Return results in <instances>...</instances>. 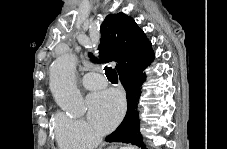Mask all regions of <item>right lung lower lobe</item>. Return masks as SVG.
Masks as SVG:
<instances>
[{
	"label": "right lung lower lobe",
	"mask_w": 227,
	"mask_h": 149,
	"mask_svg": "<svg viewBox=\"0 0 227 149\" xmlns=\"http://www.w3.org/2000/svg\"><path fill=\"white\" fill-rule=\"evenodd\" d=\"M152 60L140 65H133L119 73L120 81L126 90L127 113L119 127L112 134L107 136L105 141L132 143L136 146L144 145L140 134L138 102L141 93L140 88L146 77L142 70H144Z\"/></svg>",
	"instance_id": "98d812e1"
}]
</instances>
